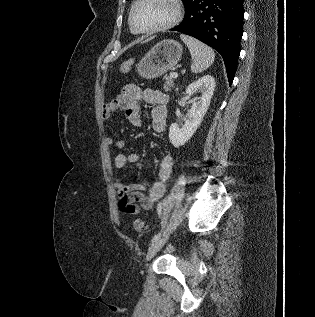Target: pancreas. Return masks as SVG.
I'll use <instances>...</instances> for the list:
<instances>
[{"label": "pancreas", "mask_w": 315, "mask_h": 317, "mask_svg": "<svg viewBox=\"0 0 315 317\" xmlns=\"http://www.w3.org/2000/svg\"><path fill=\"white\" fill-rule=\"evenodd\" d=\"M164 79H165L164 90L169 91L170 88L174 84V78H172L170 75H166Z\"/></svg>", "instance_id": "obj_1"}]
</instances>
